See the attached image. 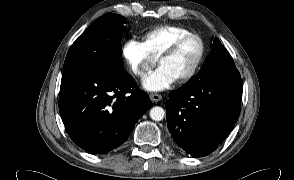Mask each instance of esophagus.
<instances>
[{
    "mask_svg": "<svg viewBox=\"0 0 294 180\" xmlns=\"http://www.w3.org/2000/svg\"><path fill=\"white\" fill-rule=\"evenodd\" d=\"M150 99L153 102H159L162 99V96L158 93H151L150 94Z\"/></svg>",
    "mask_w": 294,
    "mask_h": 180,
    "instance_id": "34e87169",
    "label": "esophagus"
}]
</instances>
